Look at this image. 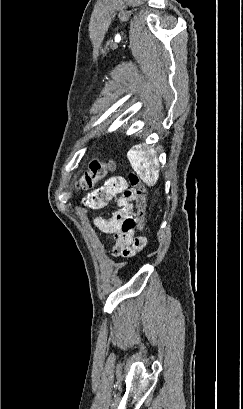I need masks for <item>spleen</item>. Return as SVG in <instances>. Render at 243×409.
Wrapping results in <instances>:
<instances>
[{
  "instance_id": "obj_1",
  "label": "spleen",
  "mask_w": 243,
  "mask_h": 409,
  "mask_svg": "<svg viewBox=\"0 0 243 409\" xmlns=\"http://www.w3.org/2000/svg\"><path fill=\"white\" fill-rule=\"evenodd\" d=\"M131 167L148 186L156 184L159 178V164L155 155L149 157L141 145L133 146L127 153Z\"/></svg>"
}]
</instances>
